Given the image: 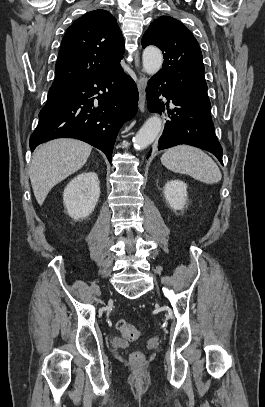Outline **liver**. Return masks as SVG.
I'll use <instances>...</instances> for the list:
<instances>
[{
	"mask_svg": "<svg viewBox=\"0 0 265 407\" xmlns=\"http://www.w3.org/2000/svg\"><path fill=\"white\" fill-rule=\"evenodd\" d=\"M91 151L89 144L68 138L49 141L35 150L29 176L39 205L56 184L83 167Z\"/></svg>",
	"mask_w": 265,
	"mask_h": 407,
	"instance_id": "1",
	"label": "liver"
}]
</instances>
